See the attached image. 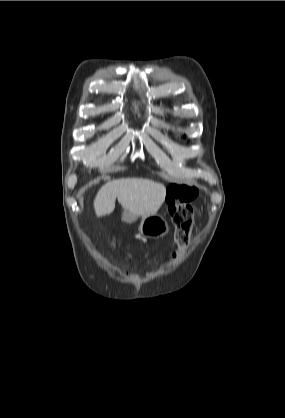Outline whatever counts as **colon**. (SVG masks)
I'll list each match as a JSON object with an SVG mask.
<instances>
[{"instance_id": "obj_1", "label": "colon", "mask_w": 285, "mask_h": 418, "mask_svg": "<svg viewBox=\"0 0 285 418\" xmlns=\"http://www.w3.org/2000/svg\"><path fill=\"white\" fill-rule=\"evenodd\" d=\"M194 194L192 189L174 185L169 190L168 212L171 223L175 227L174 239L178 250L185 248L190 241V233L194 224ZM113 243L111 240L109 241Z\"/></svg>"}]
</instances>
